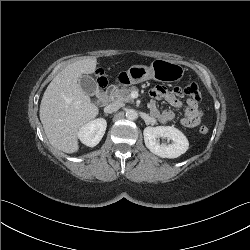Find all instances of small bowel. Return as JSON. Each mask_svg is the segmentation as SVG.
<instances>
[{
	"label": "small bowel",
	"mask_w": 250,
	"mask_h": 250,
	"mask_svg": "<svg viewBox=\"0 0 250 250\" xmlns=\"http://www.w3.org/2000/svg\"><path fill=\"white\" fill-rule=\"evenodd\" d=\"M150 95L153 100L150 103V111L162 123L172 121L175 114L170 109L160 110L157 107L156 100L164 99L168 104L176 109L182 108L183 104L180 99L184 98V88L181 85H176L173 91H168L164 86H155L150 90ZM201 110L198 103L189 99L184 110V116L181 119V124L187 128H193L201 122Z\"/></svg>",
	"instance_id": "c3829d8e"
}]
</instances>
